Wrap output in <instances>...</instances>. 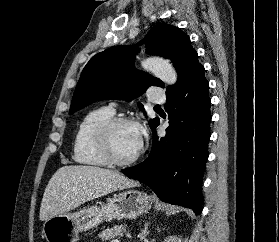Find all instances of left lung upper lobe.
Wrapping results in <instances>:
<instances>
[{"label": "left lung upper lobe", "instance_id": "obj_1", "mask_svg": "<svg viewBox=\"0 0 279 242\" xmlns=\"http://www.w3.org/2000/svg\"><path fill=\"white\" fill-rule=\"evenodd\" d=\"M146 53L170 59L181 79L184 69L196 51L189 37L179 28L159 24L151 28L145 38ZM134 48L114 46L93 56L84 67L77 83L70 107V114L86 105L104 99L133 100L150 85L164 87V83L134 68ZM175 86V85H174ZM174 86H168L166 92ZM143 108V105H140ZM159 122L151 119L150 127Z\"/></svg>", "mask_w": 279, "mask_h": 242}]
</instances>
